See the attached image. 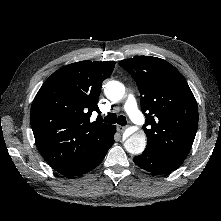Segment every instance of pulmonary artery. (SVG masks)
Returning <instances> with one entry per match:
<instances>
[{
    "label": "pulmonary artery",
    "instance_id": "obj_1",
    "mask_svg": "<svg viewBox=\"0 0 221 221\" xmlns=\"http://www.w3.org/2000/svg\"><path fill=\"white\" fill-rule=\"evenodd\" d=\"M123 108L133 122L136 124H142L144 122V118L138 109L136 99L133 95L130 94L127 97Z\"/></svg>",
    "mask_w": 221,
    "mask_h": 221
}]
</instances>
